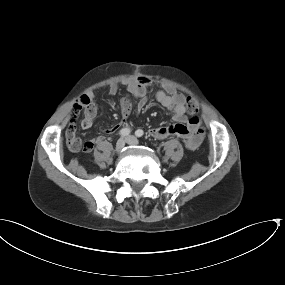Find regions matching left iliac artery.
I'll use <instances>...</instances> for the list:
<instances>
[{
	"mask_svg": "<svg viewBox=\"0 0 285 285\" xmlns=\"http://www.w3.org/2000/svg\"><path fill=\"white\" fill-rule=\"evenodd\" d=\"M143 134H144V132H143V130H141V129H138V130L135 132V135H136L137 137H142Z\"/></svg>",
	"mask_w": 285,
	"mask_h": 285,
	"instance_id": "1",
	"label": "left iliac artery"
}]
</instances>
